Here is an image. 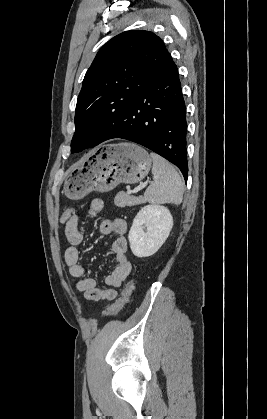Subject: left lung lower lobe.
Masks as SVG:
<instances>
[{
	"instance_id": "obj_1",
	"label": "left lung lower lobe",
	"mask_w": 267,
	"mask_h": 419,
	"mask_svg": "<svg viewBox=\"0 0 267 419\" xmlns=\"http://www.w3.org/2000/svg\"><path fill=\"white\" fill-rule=\"evenodd\" d=\"M186 134V107L178 69L168 53L145 90L119 119L104 123L91 147L112 138L136 142L175 164L187 181Z\"/></svg>"
}]
</instances>
